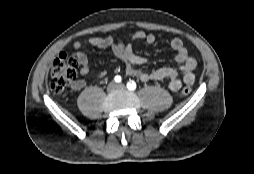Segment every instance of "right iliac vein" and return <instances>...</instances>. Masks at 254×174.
I'll list each match as a JSON object with an SVG mask.
<instances>
[{
	"mask_svg": "<svg viewBox=\"0 0 254 174\" xmlns=\"http://www.w3.org/2000/svg\"><path fill=\"white\" fill-rule=\"evenodd\" d=\"M115 88H116V85H115V83L112 82V83L109 84L107 90H108L109 92H112V91L115 90Z\"/></svg>",
	"mask_w": 254,
	"mask_h": 174,
	"instance_id": "63e3f726",
	"label": "right iliac vein"
}]
</instances>
